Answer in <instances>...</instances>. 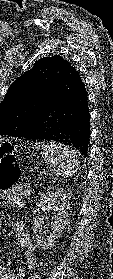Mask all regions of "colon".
<instances>
[{"mask_svg":"<svg viewBox=\"0 0 113 279\" xmlns=\"http://www.w3.org/2000/svg\"><path fill=\"white\" fill-rule=\"evenodd\" d=\"M20 166L16 162V148L11 144L0 147V190L5 193H15L20 184Z\"/></svg>","mask_w":113,"mask_h":279,"instance_id":"5ec220e1","label":"colon"}]
</instances>
